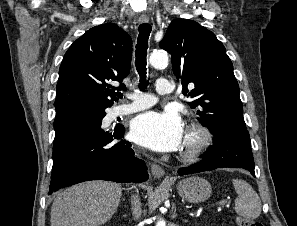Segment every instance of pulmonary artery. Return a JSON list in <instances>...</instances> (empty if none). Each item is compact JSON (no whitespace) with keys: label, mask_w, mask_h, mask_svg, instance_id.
<instances>
[{"label":"pulmonary artery","mask_w":297,"mask_h":226,"mask_svg":"<svg viewBox=\"0 0 297 226\" xmlns=\"http://www.w3.org/2000/svg\"><path fill=\"white\" fill-rule=\"evenodd\" d=\"M173 85L165 78H159L156 82V92L159 95H168L172 92ZM132 102L122 104L112 109V116H124L139 110L146 109L157 102V99L150 94H133L131 95Z\"/></svg>","instance_id":"obj_1"}]
</instances>
